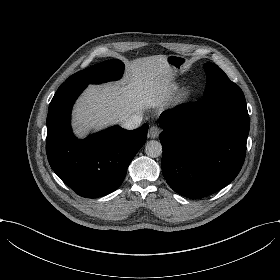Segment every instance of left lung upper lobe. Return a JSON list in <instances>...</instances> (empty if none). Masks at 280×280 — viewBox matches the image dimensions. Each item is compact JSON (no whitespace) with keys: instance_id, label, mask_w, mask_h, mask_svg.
Here are the masks:
<instances>
[{"instance_id":"obj_1","label":"left lung upper lobe","mask_w":280,"mask_h":280,"mask_svg":"<svg viewBox=\"0 0 280 280\" xmlns=\"http://www.w3.org/2000/svg\"><path fill=\"white\" fill-rule=\"evenodd\" d=\"M203 67L207 74V85L203 98L237 86L217 65L208 62Z\"/></svg>"}]
</instances>
